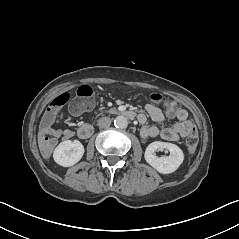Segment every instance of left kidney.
<instances>
[{
    "label": "left kidney",
    "mask_w": 239,
    "mask_h": 239,
    "mask_svg": "<svg viewBox=\"0 0 239 239\" xmlns=\"http://www.w3.org/2000/svg\"><path fill=\"white\" fill-rule=\"evenodd\" d=\"M168 149L170 156H162L158 158L155 151H162ZM145 161L160 174H171L175 172L184 161L183 151L172 143L153 142L151 143L145 153Z\"/></svg>",
    "instance_id": "obj_1"
}]
</instances>
